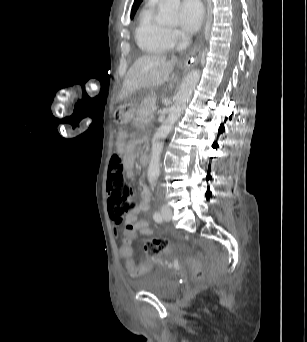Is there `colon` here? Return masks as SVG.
I'll use <instances>...</instances> for the list:
<instances>
[{
  "label": "colon",
  "instance_id": "colon-1",
  "mask_svg": "<svg viewBox=\"0 0 307 342\" xmlns=\"http://www.w3.org/2000/svg\"><path fill=\"white\" fill-rule=\"evenodd\" d=\"M107 190L110 212L115 224L119 225L123 222L126 214L134 210L135 202L132 198L133 187L123 177V167L117 154H114L110 160ZM124 231L126 242H134L136 238L133 227L125 226ZM119 250L120 254H133V243H119ZM143 250L147 256L155 258L163 253H173L176 249L170 246L168 240L154 237L144 242ZM185 268H190L191 276H195L196 279L206 276V266H198V261H185ZM150 269L149 263H142L138 266L130 265L128 268L132 277L146 274Z\"/></svg>",
  "mask_w": 307,
  "mask_h": 342
}]
</instances>
